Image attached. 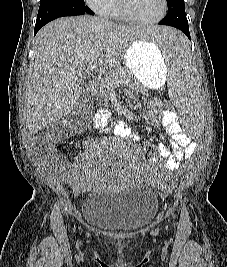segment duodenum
<instances>
[{"instance_id":"obj_1","label":"duodenum","mask_w":227,"mask_h":267,"mask_svg":"<svg viewBox=\"0 0 227 267\" xmlns=\"http://www.w3.org/2000/svg\"><path fill=\"white\" fill-rule=\"evenodd\" d=\"M89 92L91 94H94L97 92V81L93 80L90 84H89Z\"/></svg>"}]
</instances>
